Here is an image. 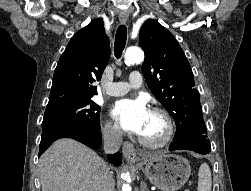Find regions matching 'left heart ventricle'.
I'll return each mask as SVG.
<instances>
[{
  "label": "left heart ventricle",
  "instance_id": "obj_1",
  "mask_svg": "<svg viewBox=\"0 0 251 191\" xmlns=\"http://www.w3.org/2000/svg\"><path fill=\"white\" fill-rule=\"evenodd\" d=\"M165 133L164 120L158 115L150 114L141 135L150 141L158 142L164 137Z\"/></svg>",
  "mask_w": 251,
  "mask_h": 191
}]
</instances>
